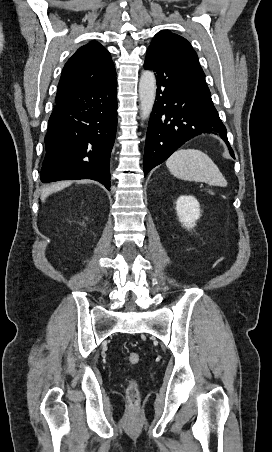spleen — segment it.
I'll list each match as a JSON object with an SVG mask.
<instances>
[{
	"label": "spleen",
	"instance_id": "spleen-1",
	"mask_svg": "<svg viewBox=\"0 0 272 452\" xmlns=\"http://www.w3.org/2000/svg\"><path fill=\"white\" fill-rule=\"evenodd\" d=\"M166 165L170 173L179 179L227 186V181L217 165L200 150H177L167 159Z\"/></svg>",
	"mask_w": 272,
	"mask_h": 452
}]
</instances>
